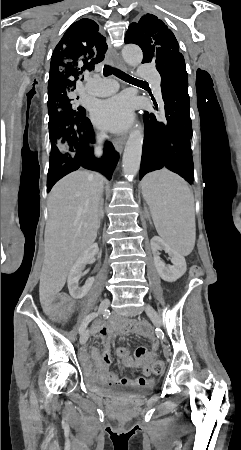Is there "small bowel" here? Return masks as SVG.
<instances>
[{"label": "small bowel", "mask_w": 241, "mask_h": 450, "mask_svg": "<svg viewBox=\"0 0 241 450\" xmlns=\"http://www.w3.org/2000/svg\"><path fill=\"white\" fill-rule=\"evenodd\" d=\"M45 310L39 312L41 319H52L61 309H67L69 302L67 300L46 301L44 303ZM69 314L66 311L61 313L63 318ZM91 333L98 338L102 343V352L98 349L92 350V359L85 356L86 368L91 378L95 382H100L107 386H134L139 388L150 387L154 384V379L151 378L152 368L151 364L155 362L160 350V343L155 337L150 326L144 322L136 320H123L114 323L112 326L98 324L95 325ZM129 333H137L144 337L150 344L149 347L139 346L135 349L134 355L131 356L129 350L125 347H118L115 350V355L121 363L130 368H140L142 375L139 377H120L112 368L110 356V341L114 335L125 336Z\"/></svg>", "instance_id": "obj_1"}]
</instances>
